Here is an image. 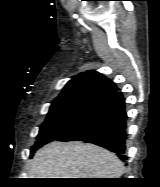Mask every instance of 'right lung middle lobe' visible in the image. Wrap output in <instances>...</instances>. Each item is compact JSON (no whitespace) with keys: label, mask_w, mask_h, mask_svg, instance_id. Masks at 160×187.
Returning <instances> with one entry per match:
<instances>
[{"label":"right lung middle lobe","mask_w":160,"mask_h":187,"mask_svg":"<svg viewBox=\"0 0 160 187\" xmlns=\"http://www.w3.org/2000/svg\"><path fill=\"white\" fill-rule=\"evenodd\" d=\"M95 104L72 103L50 108L45 122L41 125L37 141L31 148L30 156L43 145L58 139L87 118Z\"/></svg>","instance_id":"right-lung-middle-lobe-1"}]
</instances>
